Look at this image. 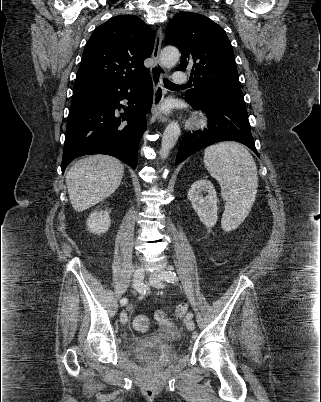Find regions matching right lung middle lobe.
Segmentation results:
<instances>
[{"label":"right lung middle lobe","instance_id":"1","mask_svg":"<svg viewBox=\"0 0 321 402\" xmlns=\"http://www.w3.org/2000/svg\"><path fill=\"white\" fill-rule=\"evenodd\" d=\"M90 87H92V86L74 87L73 93H77V92L89 89Z\"/></svg>","mask_w":321,"mask_h":402}]
</instances>
